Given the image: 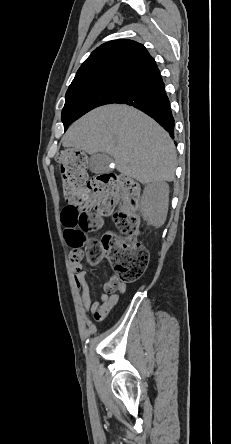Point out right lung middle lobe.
Wrapping results in <instances>:
<instances>
[{
    "instance_id": "right-lung-middle-lobe-1",
    "label": "right lung middle lobe",
    "mask_w": 231,
    "mask_h": 444,
    "mask_svg": "<svg viewBox=\"0 0 231 444\" xmlns=\"http://www.w3.org/2000/svg\"><path fill=\"white\" fill-rule=\"evenodd\" d=\"M132 88L118 83H105L92 87L72 89L66 92L62 110L64 130L88 111L108 103H114Z\"/></svg>"
}]
</instances>
